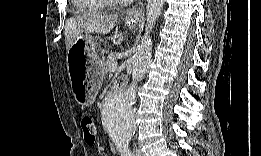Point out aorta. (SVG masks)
I'll return each instance as SVG.
<instances>
[{
	"mask_svg": "<svg viewBox=\"0 0 261 156\" xmlns=\"http://www.w3.org/2000/svg\"><path fill=\"white\" fill-rule=\"evenodd\" d=\"M164 0L147 1V23L145 33L133 56L132 82L119 94L108 97L102 106V126L107 135L115 142H129L136 131L135 115L132 108L136 100L137 84L147 72L152 57V28L161 15Z\"/></svg>",
	"mask_w": 261,
	"mask_h": 156,
	"instance_id": "762f6f07",
	"label": "aorta"
}]
</instances>
